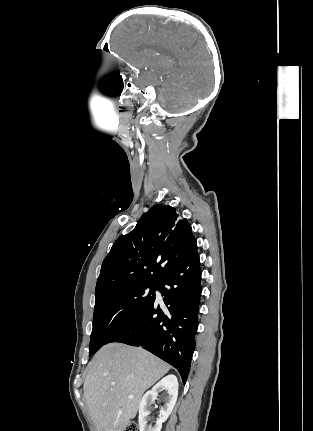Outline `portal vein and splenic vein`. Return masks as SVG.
Here are the masks:
<instances>
[{
	"label": "portal vein and splenic vein",
	"mask_w": 313,
	"mask_h": 431,
	"mask_svg": "<svg viewBox=\"0 0 313 431\" xmlns=\"http://www.w3.org/2000/svg\"><path fill=\"white\" fill-rule=\"evenodd\" d=\"M132 398H133L132 396L129 397V399H132Z\"/></svg>",
	"instance_id": "18ae733b"
}]
</instances>
